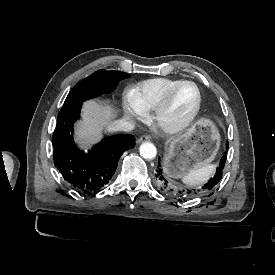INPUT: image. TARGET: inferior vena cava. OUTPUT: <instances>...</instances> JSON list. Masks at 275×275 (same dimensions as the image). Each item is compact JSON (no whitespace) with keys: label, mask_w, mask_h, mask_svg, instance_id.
Wrapping results in <instances>:
<instances>
[{"label":"inferior vena cava","mask_w":275,"mask_h":275,"mask_svg":"<svg viewBox=\"0 0 275 275\" xmlns=\"http://www.w3.org/2000/svg\"><path fill=\"white\" fill-rule=\"evenodd\" d=\"M135 125L133 123L124 121V120H116L111 122L108 126L109 130H120L126 133H130L134 130Z\"/></svg>","instance_id":"inferior-vena-cava-1"}]
</instances>
